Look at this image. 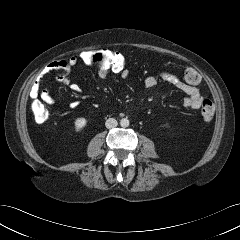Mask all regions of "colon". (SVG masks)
Listing matches in <instances>:
<instances>
[{
  "label": "colon",
  "instance_id": "obj_1",
  "mask_svg": "<svg viewBox=\"0 0 240 240\" xmlns=\"http://www.w3.org/2000/svg\"><path fill=\"white\" fill-rule=\"evenodd\" d=\"M79 63L87 66H95L110 69L113 72L120 73L128 70L129 60L119 52L108 49L83 51L75 55ZM185 83L197 85L200 82L199 73L193 68H187L183 73ZM31 111L36 122L44 123L49 118L47 107L39 100H34L31 104ZM201 115L205 121H210L214 115L213 103L205 99L201 106Z\"/></svg>",
  "mask_w": 240,
  "mask_h": 240
}]
</instances>
